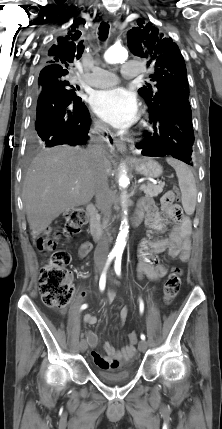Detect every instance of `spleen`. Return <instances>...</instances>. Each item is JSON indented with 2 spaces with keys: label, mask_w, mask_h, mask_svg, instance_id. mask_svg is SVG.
Here are the masks:
<instances>
[{
  "label": "spleen",
  "mask_w": 222,
  "mask_h": 429,
  "mask_svg": "<svg viewBox=\"0 0 222 429\" xmlns=\"http://www.w3.org/2000/svg\"><path fill=\"white\" fill-rule=\"evenodd\" d=\"M166 161L176 172L184 211L186 214L192 215L195 211L197 201V188L194 175L183 162L173 158H167Z\"/></svg>",
  "instance_id": "spleen-1"
}]
</instances>
